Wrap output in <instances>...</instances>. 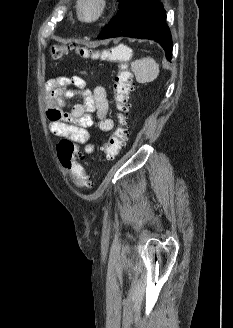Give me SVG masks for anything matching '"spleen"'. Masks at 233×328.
Instances as JSON below:
<instances>
[{
	"mask_svg": "<svg viewBox=\"0 0 233 328\" xmlns=\"http://www.w3.org/2000/svg\"><path fill=\"white\" fill-rule=\"evenodd\" d=\"M119 49L114 51L115 56H119ZM131 70L138 83H150L159 75V64L151 57L135 60L131 63Z\"/></svg>",
	"mask_w": 233,
	"mask_h": 328,
	"instance_id": "obj_1",
	"label": "spleen"
}]
</instances>
